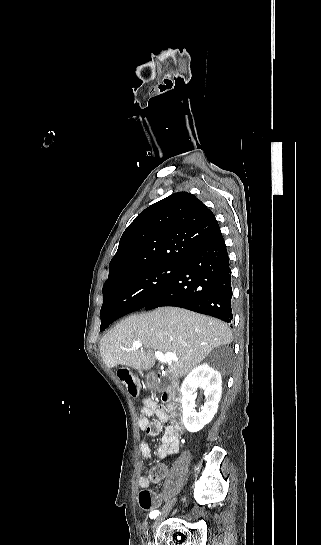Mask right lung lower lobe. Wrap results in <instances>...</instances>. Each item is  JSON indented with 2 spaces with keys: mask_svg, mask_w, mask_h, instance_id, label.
<instances>
[{
  "mask_svg": "<svg viewBox=\"0 0 321 545\" xmlns=\"http://www.w3.org/2000/svg\"><path fill=\"white\" fill-rule=\"evenodd\" d=\"M231 298L229 257L219 229L187 258L177 275L144 307L111 299L102 306L100 314L106 321L103 330L126 314L160 306L182 307L229 323L233 319Z\"/></svg>",
  "mask_w": 321,
  "mask_h": 545,
  "instance_id": "98d812e1",
  "label": "right lung lower lobe"
}]
</instances>
